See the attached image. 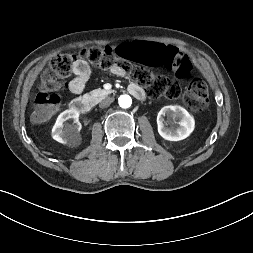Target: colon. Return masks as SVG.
<instances>
[{"label": "colon", "instance_id": "5ec220e1", "mask_svg": "<svg viewBox=\"0 0 253 253\" xmlns=\"http://www.w3.org/2000/svg\"><path fill=\"white\" fill-rule=\"evenodd\" d=\"M79 59L105 69L119 67L145 87L152 97L174 99L183 92L184 103L195 111H202L209 104L208 88L201 79L194 78L186 85H181L178 81L145 69L158 68L169 76H178L181 79L188 77L192 69L190 57L178 48H171L156 40H147L122 43L118 48L89 47L78 53L58 54L53 57L41 76L40 90L35 98V121L44 122L56 112L66 79Z\"/></svg>", "mask_w": 253, "mask_h": 253}]
</instances>
